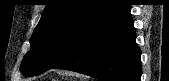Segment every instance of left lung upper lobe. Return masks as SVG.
Here are the masks:
<instances>
[{"instance_id": "5c2ea615", "label": "left lung upper lobe", "mask_w": 169, "mask_h": 81, "mask_svg": "<svg viewBox=\"0 0 169 81\" xmlns=\"http://www.w3.org/2000/svg\"><path fill=\"white\" fill-rule=\"evenodd\" d=\"M117 0H51L30 39L20 70L36 76L55 66L92 21Z\"/></svg>"}]
</instances>
